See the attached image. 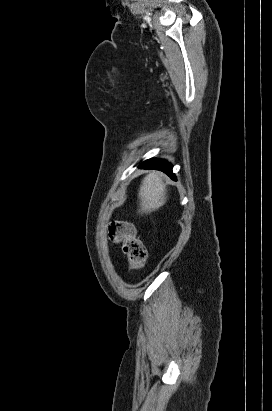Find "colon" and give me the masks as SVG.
Segmentation results:
<instances>
[{"instance_id": "1", "label": "colon", "mask_w": 272, "mask_h": 411, "mask_svg": "<svg viewBox=\"0 0 272 411\" xmlns=\"http://www.w3.org/2000/svg\"><path fill=\"white\" fill-rule=\"evenodd\" d=\"M111 239L122 245L124 253L133 271L140 270L146 260V249L143 243L136 237V230L131 223L115 221L110 225Z\"/></svg>"}]
</instances>
